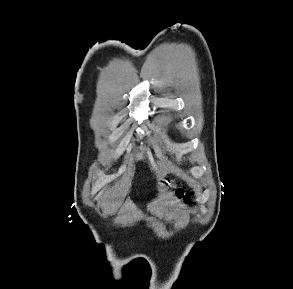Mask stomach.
I'll list each match as a JSON object with an SVG mask.
<instances>
[{
  "instance_id": "0dacf381",
  "label": "stomach",
  "mask_w": 293,
  "mask_h": 289,
  "mask_svg": "<svg viewBox=\"0 0 293 289\" xmlns=\"http://www.w3.org/2000/svg\"><path fill=\"white\" fill-rule=\"evenodd\" d=\"M170 187H172V182L169 180H163L159 183V189L161 192L168 190Z\"/></svg>"
}]
</instances>
